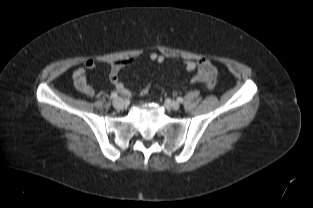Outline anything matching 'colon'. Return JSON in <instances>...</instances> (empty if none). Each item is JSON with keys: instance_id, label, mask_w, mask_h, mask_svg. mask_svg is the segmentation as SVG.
Returning a JSON list of instances; mask_svg holds the SVG:
<instances>
[{"instance_id": "obj_1", "label": "colon", "mask_w": 313, "mask_h": 208, "mask_svg": "<svg viewBox=\"0 0 313 208\" xmlns=\"http://www.w3.org/2000/svg\"><path fill=\"white\" fill-rule=\"evenodd\" d=\"M205 86L209 89V90H213L216 86V78L215 76H212L210 78L207 79V81L205 82ZM149 92V86L144 87L141 90V94L146 95Z\"/></svg>"}]
</instances>
